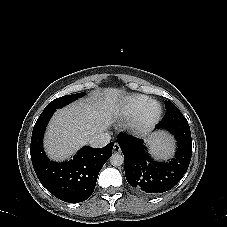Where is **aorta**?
Instances as JSON below:
<instances>
[{
  "mask_svg": "<svg viewBox=\"0 0 227 227\" xmlns=\"http://www.w3.org/2000/svg\"><path fill=\"white\" fill-rule=\"evenodd\" d=\"M110 163L114 167L121 166L124 163V156L120 153H114L110 157Z\"/></svg>",
  "mask_w": 227,
  "mask_h": 227,
  "instance_id": "1",
  "label": "aorta"
}]
</instances>
